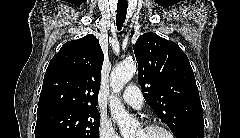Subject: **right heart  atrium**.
Masks as SVG:
<instances>
[{
	"instance_id": "d8ad5b80",
	"label": "right heart atrium",
	"mask_w": 240,
	"mask_h": 138,
	"mask_svg": "<svg viewBox=\"0 0 240 138\" xmlns=\"http://www.w3.org/2000/svg\"><path fill=\"white\" fill-rule=\"evenodd\" d=\"M98 136L99 138H120L118 134L113 129L112 125L105 120L100 122L98 128Z\"/></svg>"
}]
</instances>
